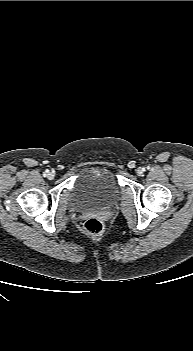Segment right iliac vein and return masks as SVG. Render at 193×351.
Wrapping results in <instances>:
<instances>
[{"instance_id": "1", "label": "right iliac vein", "mask_w": 193, "mask_h": 351, "mask_svg": "<svg viewBox=\"0 0 193 351\" xmlns=\"http://www.w3.org/2000/svg\"><path fill=\"white\" fill-rule=\"evenodd\" d=\"M54 177H55V174H54L53 172H49V173L47 174V178H48L49 180L54 179Z\"/></svg>"}]
</instances>
